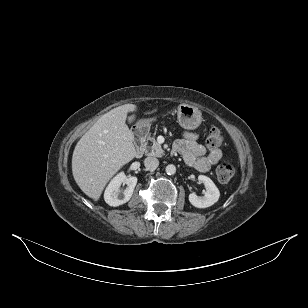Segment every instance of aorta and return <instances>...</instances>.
I'll list each match as a JSON object with an SVG mask.
<instances>
[{
    "label": "aorta",
    "mask_w": 308,
    "mask_h": 308,
    "mask_svg": "<svg viewBox=\"0 0 308 308\" xmlns=\"http://www.w3.org/2000/svg\"><path fill=\"white\" fill-rule=\"evenodd\" d=\"M165 171L168 175H173L176 172V167L173 164H169L166 166Z\"/></svg>",
    "instance_id": "762f6f07"
}]
</instances>
